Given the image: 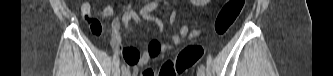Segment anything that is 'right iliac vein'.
I'll return each instance as SVG.
<instances>
[{
	"instance_id": "obj_1",
	"label": "right iliac vein",
	"mask_w": 333,
	"mask_h": 76,
	"mask_svg": "<svg viewBox=\"0 0 333 76\" xmlns=\"http://www.w3.org/2000/svg\"><path fill=\"white\" fill-rule=\"evenodd\" d=\"M129 75H130V72L128 70H126L122 73V76H129Z\"/></svg>"
}]
</instances>
